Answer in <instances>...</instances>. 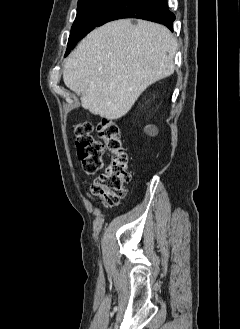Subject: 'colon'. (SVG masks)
<instances>
[{
  "label": "colon",
  "mask_w": 240,
  "mask_h": 329,
  "mask_svg": "<svg viewBox=\"0 0 240 329\" xmlns=\"http://www.w3.org/2000/svg\"><path fill=\"white\" fill-rule=\"evenodd\" d=\"M98 129L103 143L93 139L92 127L89 123H81L76 126L77 155L83 173L90 176L102 168L103 149L110 152L111 160L104 172L93 182L90 194L99 198L106 207H114L125 196V185L131 179L129 155L122 144L119 127L113 119L104 118Z\"/></svg>",
  "instance_id": "colon-1"
}]
</instances>
